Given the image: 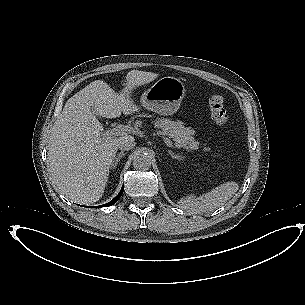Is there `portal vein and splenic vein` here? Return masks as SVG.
Wrapping results in <instances>:
<instances>
[{"label":"portal vein and splenic vein","instance_id":"portal-vein-and-splenic-vein-1","mask_svg":"<svg viewBox=\"0 0 305 305\" xmlns=\"http://www.w3.org/2000/svg\"><path fill=\"white\" fill-rule=\"evenodd\" d=\"M125 131H128V128L126 126H123V125H118L116 128L112 129L110 132H109V135L110 136H113V135H119L121 133H124ZM171 147H173L172 143L170 144Z\"/></svg>","mask_w":305,"mask_h":305}]
</instances>
